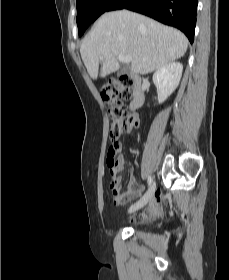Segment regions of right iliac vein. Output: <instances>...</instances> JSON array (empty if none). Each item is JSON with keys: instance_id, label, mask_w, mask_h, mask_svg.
Instances as JSON below:
<instances>
[{"instance_id": "1", "label": "right iliac vein", "mask_w": 229, "mask_h": 280, "mask_svg": "<svg viewBox=\"0 0 229 280\" xmlns=\"http://www.w3.org/2000/svg\"><path fill=\"white\" fill-rule=\"evenodd\" d=\"M154 191H155V183L151 185L148 192L139 201H137L134 205L130 207L129 213L134 212L142 208L144 205H146Z\"/></svg>"}]
</instances>
